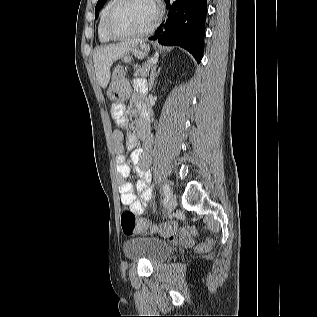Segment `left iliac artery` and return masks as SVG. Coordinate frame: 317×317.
<instances>
[{
    "instance_id": "obj_1",
    "label": "left iliac artery",
    "mask_w": 317,
    "mask_h": 317,
    "mask_svg": "<svg viewBox=\"0 0 317 317\" xmlns=\"http://www.w3.org/2000/svg\"><path fill=\"white\" fill-rule=\"evenodd\" d=\"M163 194L165 195V196H169L170 195V192H171V189H170V186L167 184V183H165L164 185H163Z\"/></svg>"
}]
</instances>
